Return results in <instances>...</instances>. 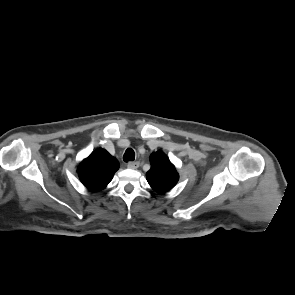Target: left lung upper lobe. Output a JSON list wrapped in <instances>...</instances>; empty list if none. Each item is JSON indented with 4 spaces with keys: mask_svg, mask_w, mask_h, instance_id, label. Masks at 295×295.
I'll list each match as a JSON object with an SVG mask.
<instances>
[{
    "mask_svg": "<svg viewBox=\"0 0 295 295\" xmlns=\"http://www.w3.org/2000/svg\"><path fill=\"white\" fill-rule=\"evenodd\" d=\"M151 168L146 174L151 188L158 193H165L172 189L179 180L175 166L170 162L167 155L157 151L150 156Z\"/></svg>",
    "mask_w": 295,
    "mask_h": 295,
    "instance_id": "obj_1",
    "label": "left lung upper lobe"
}]
</instances>
